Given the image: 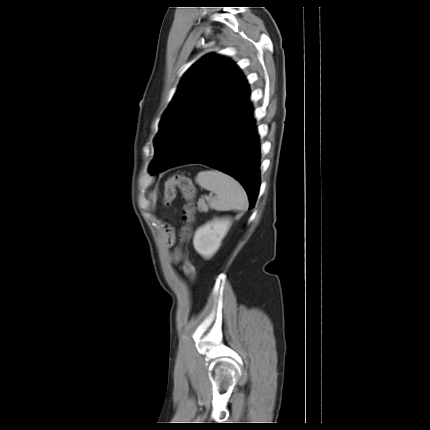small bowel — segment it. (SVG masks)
<instances>
[{"label": "small bowel", "instance_id": "small-bowel-1", "mask_svg": "<svg viewBox=\"0 0 430 430\" xmlns=\"http://www.w3.org/2000/svg\"><path fill=\"white\" fill-rule=\"evenodd\" d=\"M164 242L167 248L171 249L174 247L176 242V236L174 229L170 226H167L164 232ZM179 249L176 248L174 251L170 253V260L173 263H177L179 261Z\"/></svg>", "mask_w": 430, "mask_h": 430}]
</instances>
